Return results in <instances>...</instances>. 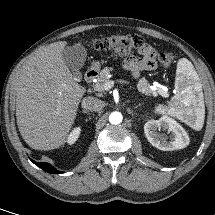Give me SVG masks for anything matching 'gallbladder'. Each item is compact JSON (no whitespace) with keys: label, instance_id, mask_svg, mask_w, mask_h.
<instances>
[{"label":"gallbladder","instance_id":"gallbladder-1","mask_svg":"<svg viewBox=\"0 0 215 215\" xmlns=\"http://www.w3.org/2000/svg\"><path fill=\"white\" fill-rule=\"evenodd\" d=\"M87 52L82 45L66 46L62 51V58L76 79H81L80 69L86 60Z\"/></svg>","mask_w":215,"mask_h":215}]
</instances>
